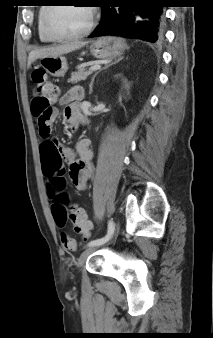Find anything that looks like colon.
Here are the masks:
<instances>
[{"label": "colon", "mask_w": 213, "mask_h": 338, "mask_svg": "<svg viewBox=\"0 0 213 338\" xmlns=\"http://www.w3.org/2000/svg\"><path fill=\"white\" fill-rule=\"evenodd\" d=\"M32 79L34 88L31 109L38 121L40 136L47 139L50 134L49 122L54 116V100L57 96V88L41 70L34 72ZM58 145L59 141L54 139L43 143L41 148L46 154H50ZM59 189L60 191L54 197L55 213L61 217L67 216L73 222L75 231L82 235L83 241H87L91 230L90 222L81 208L69 205L68 197L63 192V184L59 186ZM61 242L65 250L75 251L77 249L76 240L65 233L61 234Z\"/></svg>", "instance_id": "obj_1"}]
</instances>
